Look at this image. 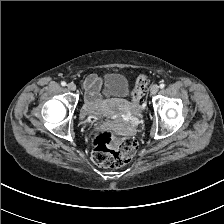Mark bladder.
<instances>
[{
  "mask_svg": "<svg viewBox=\"0 0 224 224\" xmlns=\"http://www.w3.org/2000/svg\"><path fill=\"white\" fill-rule=\"evenodd\" d=\"M130 83L127 77L119 72H109L104 76V94L123 105L127 102Z\"/></svg>",
  "mask_w": 224,
  "mask_h": 224,
  "instance_id": "1",
  "label": "bladder"
}]
</instances>
